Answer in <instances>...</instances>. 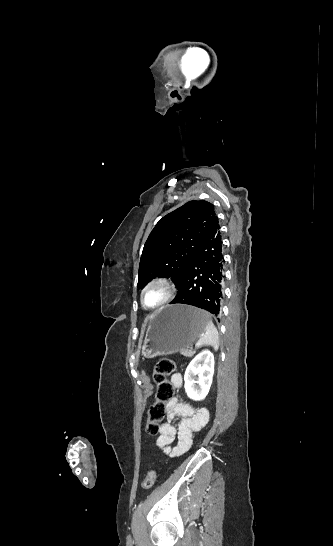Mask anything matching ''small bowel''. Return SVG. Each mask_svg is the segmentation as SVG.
<instances>
[{"label": "small bowel", "mask_w": 333, "mask_h": 546, "mask_svg": "<svg viewBox=\"0 0 333 546\" xmlns=\"http://www.w3.org/2000/svg\"><path fill=\"white\" fill-rule=\"evenodd\" d=\"M170 382L176 389H181L184 384L182 374H173ZM166 412L167 418L160 425L156 445L170 457L180 456L190 448L193 435L206 426L210 414L206 408L196 409L178 398H173L166 404ZM177 417H181L182 420L178 427H175L172 422ZM175 440L177 443L174 445Z\"/></svg>", "instance_id": "c3829d8e"}]
</instances>
